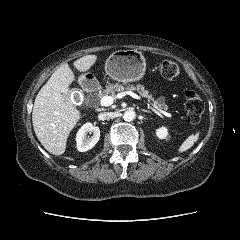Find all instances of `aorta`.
Listing matches in <instances>:
<instances>
[{
	"label": "aorta",
	"mask_w": 240,
	"mask_h": 240,
	"mask_svg": "<svg viewBox=\"0 0 240 240\" xmlns=\"http://www.w3.org/2000/svg\"><path fill=\"white\" fill-rule=\"evenodd\" d=\"M136 118V113L133 110L125 111L123 119L125 121H133Z\"/></svg>",
	"instance_id": "1"
}]
</instances>
